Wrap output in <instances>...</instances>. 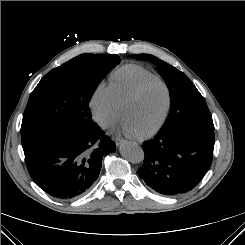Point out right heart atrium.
Instances as JSON below:
<instances>
[{"mask_svg": "<svg viewBox=\"0 0 245 245\" xmlns=\"http://www.w3.org/2000/svg\"><path fill=\"white\" fill-rule=\"evenodd\" d=\"M89 106L95 121L102 127L109 126L118 112V103L110 85L99 82L93 91Z\"/></svg>", "mask_w": 245, "mask_h": 245, "instance_id": "1", "label": "right heart atrium"}]
</instances>
